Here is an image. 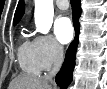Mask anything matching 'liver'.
Listing matches in <instances>:
<instances>
[{
  "label": "liver",
  "instance_id": "liver-1",
  "mask_svg": "<svg viewBox=\"0 0 107 89\" xmlns=\"http://www.w3.org/2000/svg\"><path fill=\"white\" fill-rule=\"evenodd\" d=\"M9 89H52V86L45 77L19 75L11 81Z\"/></svg>",
  "mask_w": 107,
  "mask_h": 89
}]
</instances>
